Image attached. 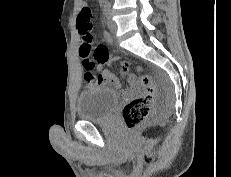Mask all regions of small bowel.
<instances>
[{
    "instance_id": "1",
    "label": "small bowel",
    "mask_w": 231,
    "mask_h": 177,
    "mask_svg": "<svg viewBox=\"0 0 231 177\" xmlns=\"http://www.w3.org/2000/svg\"><path fill=\"white\" fill-rule=\"evenodd\" d=\"M86 2H81V10L87 8ZM106 38L109 42H111V38L106 35ZM106 63L99 64V74H98V82L97 84H102L106 86H110L115 89H121L122 85L120 80L113 75L108 69L105 68ZM128 83L131 86V91H135L138 88V80L135 75L128 76Z\"/></svg>"
}]
</instances>
